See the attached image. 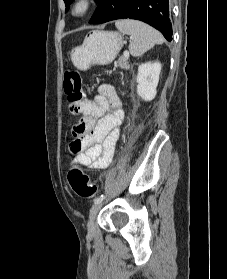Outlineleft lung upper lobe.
Segmentation results:
<instances>
[{
	"label": "left lung upper lobe",
	"instance_id": "5c2ea615",
	"mask_svg": "<svg viewBox=\"0 0 227 279\" xmlns=\"http://www.w3.org/2000/svg\"><path fill=\"white\" fill-rule=\"evenodd\" d=\"M72 1H73V0H64L65 5H66V11L69 9V6H70V4H71ZM96 2H99V0H96Z\"/></svg>",
	"mask_w": 227,
	"mask_h": 279
}]
</instances>
